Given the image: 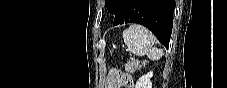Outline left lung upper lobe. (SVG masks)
<instances>
[{"label":"left lung upper lobe","instance_id":"5c2ea615","mask_svg":"<svg viewBox=\"0 0 227 88\" xmlns=\"http://www.w3.org/2000/svg\"><path fill=\"white\" fill-rule=\"evenodd\" d=\"M118 1L119 0H105L107 9L111 14H115Z\"/></svg>","mask_w":227,"mask_h":88}]
</instances>
